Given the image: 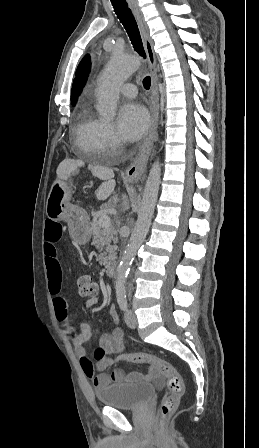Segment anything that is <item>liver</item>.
I'll use <instances>...</instances> for the list:
<instances>
[{
  "label": "liver",
  "instance_id": "obj_1",
  "mask_svg": "<svg viewBox=\"0 0 259 448\" xmlns=\"http://www.w3.org/2000/svg\"><path fill=\"white\" fill-rule=\"evenodd\" d=\"M81 166H84V162L82 160H65V162H62L60 164L58 170H57V176L58 178H63V180H66L68 176H70L71 172H77V168H81ZM93 174H95L94 170L92 168H89ZM112 188L115 186V182H111Z\"/></svg>",
  "mask_w": 259,
  "mask_h": 448
}]
</instances>
